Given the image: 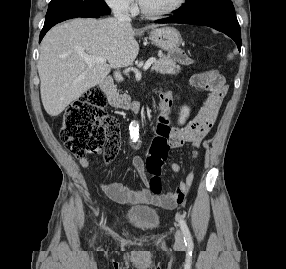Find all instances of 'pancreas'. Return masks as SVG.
<instances>
[{"instance_id": "pancreas-1", "label": "pancreas", "mask_w": 286, "mask_h": 269, "mask_svg": "<svg viewBox=\"0 0 286 269\" xmlns=\"http://www.w3.org/2000/svg\"><path fill=\"white\" fill-rule=\"evenodd\" d=\"M152 70L161 74L174 75L179 73L181 67L169 58L162 56L155 63H153Z\"/></svg>"}]
</instances>
